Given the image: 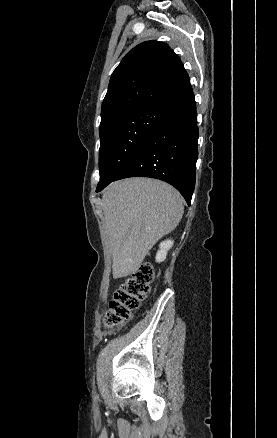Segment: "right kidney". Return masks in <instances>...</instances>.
<instances>
[{"mask_svg": "<svg viewBox=\"0 0 277 438\" xmlns=\"http://www.w3.org/2000/svg\"><path fill=\"white\" fill-rule=\"evenodd\" d=\"M173 244V240H165V242H161L160 250H158L156 254V262H164V260H166L168 250L172 248Z\"/></svg>", "mask_w": 277, "mask_h": 438, "instance_id": "right-kidney-1", "label": "right kidney"}]
</instances>
